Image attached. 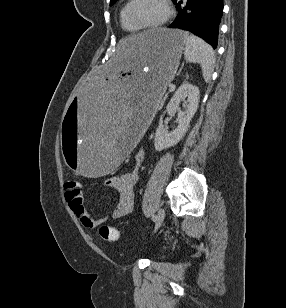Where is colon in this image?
I'll list each match as a JSON object with an SVG mask.
<instances>
[{"label": "colon", "mask_w": 286, "mask_h": 308, "mask_svg": "<svg viewBox=\"0 0 286 308\" xmlns=\"http://www.w3.org/2000/svg\"><path fill=\"white\" fill-rule=\"evenodd\" d=\"M79 182L75 180H70L66 183L67 190H78ZM100 236L105 241H116L118 239V231L114 227L102 226L99 230Z\"/></svg>", "instance_id": "5ec220e1"}]
</instances>
